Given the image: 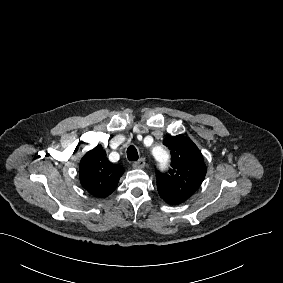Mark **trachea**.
I'll return each instance as SVG.
<instances>
[{"instance_id": "trachea-1", "label": "trachea", "mask_w": 283, "mask_h": 283, "mask_svg": "<svg viewBox=\"0 0 283 283\" xmlns=\"http://www.w3.org/2000/svg\"><path fill=\"white\" fill-rule=\"evenodd\" d=\"M127 158L129 161H137L139 159L137 149L133 145L127 149Z\"/></svg>"}]
</instances>
